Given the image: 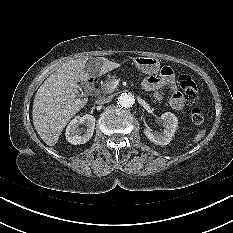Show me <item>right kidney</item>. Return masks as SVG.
Segmentation results:
<instances>
[{"label":"right kidney","mask_w":233,"mask_h":233,"mask_svg":"<svg viewBox=\"0 0 233 233\" xmlns=\"http://www.w3.org/2000/svg\"><path fill=\"white\" fill-rule=\"evenodd\" d=\"M95 117L89 114H86L82 117L76 116L74 119L70 121L66 128V139L72 145H80L88 142L94 132L95 128ZM81 124H85L87 129L83 132V130L79 129Z\"/></svg>","instance_id":"obj_1"}]
</instances>
